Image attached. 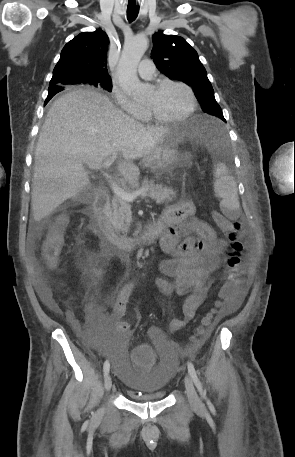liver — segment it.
Returning a JSON list of instances; mask_svg holds the SVG:
<instances>
[{"label":"liver","mask_w":295,"mask_h":457,"mask_svg":"<svg viewBox=\"0 0 295 457\" xmlns=\"http://www.w3.org/2000/svg\"><path fill=\"white\" fill-rule=\"evenodd\" d=\"M172 132L144 126L125 115L110 99L93 90H75L54 101L36 150L31 205L35 221L52 213L89 186L88 172L121 153L120 175L134 183L140 175L135 159L152 152Z\"/></svg>","instance_id":"6515ba94"}]
</instances>
